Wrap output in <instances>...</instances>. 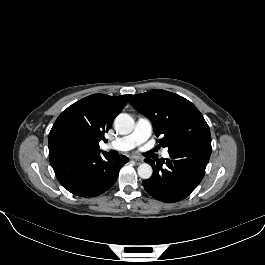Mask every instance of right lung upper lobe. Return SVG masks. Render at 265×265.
I'll use <instances>...</instances> for the list:
<instances>
[{
    "label": "right lung upper lobe",
    "instance_id": "right-lung-upper-lobe-1",
    "mask_svg": "<svg viewBox=\"0 0 265 265\" xmlns=\"http://www.w3.org/2000/svg\"><path fill=\"white\" fill-rule=\"evenodd\" d=\"M130 96L93 94L69 106L56 119L49 133V157L100 151L99 141H106L104 133Z\"/></svg>",
    "mask_w": 265,
    "mask_h": 265
}]
</instances>
